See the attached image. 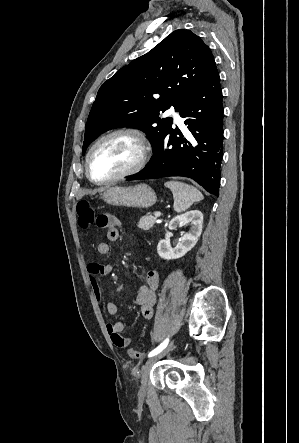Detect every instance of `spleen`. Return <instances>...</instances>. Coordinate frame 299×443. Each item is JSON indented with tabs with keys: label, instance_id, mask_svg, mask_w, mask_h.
Returning <instances> with one entry per match:
<instances>
[{
	"label": "spleen",
	"instance_id": "obj_1",
	"mask_svg": "<svg viewBox=\"0 0 299 443\" xmlns=\"http://www.w3.org/2000/svg\"><path fill=\"white\" fill-rule=\"evenodd\" d=\"M165 187L172 191L174 198V210L177 213L184 212L194 202L204 199L203 194L195 187L178 181L165 182Z\"/></svg>",
	"mask_w": 299,
	"mask_h": 443
}]
</instances>
